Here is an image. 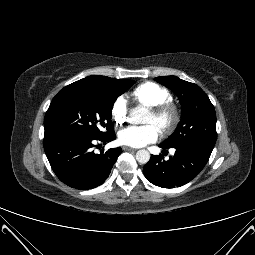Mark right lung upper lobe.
Wrapping results in <instances>:
<instances>
[{
  "label": "right lung upper lobe",
  "instance_id": "obj_1",
  "mask_svg": "<svg viewBox=\"0 0 255 255\" xmlns=\"http://www.w3.org/2000/svg\"><path fill=\"white\" fill-rule=\"evenodd\" d=\"M114 78H109L106 76H99V75H93V76H88L84 79H81L79 81H76L66 87H64L54 98L52 101H54L55 99H57L59 96H61L62 94L73 90L75 88H79V87H87V86H103L106 85L108 83H110ZM46 136V135H45Z\"/></svg>",
  "mask_w": 255,
  "mask_h": 255
}]
</instances>
